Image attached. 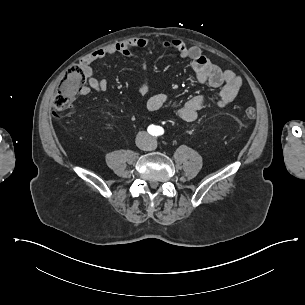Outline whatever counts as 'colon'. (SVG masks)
I'll use <instances>...</instances> for the list:
<instances>
[{"instance_id":"5ec220e1","label":"colon","mask_w":305,"mask_h":305,"mask_svg":"<svg viewBox=\"0 0 305 305\" xmlns=\"http://www.w3.org/2000/svg\"><path fill=\"white\" fill-rule=\"evenodd\" d=\"M85 80V73L78 66H70L65 69L61 79L57 84V95L53 99V108L65 109L69 103L76 99L78 90ZM247 118H253L255 110L248 107L244 111Z\"/></svg>"}]
</instances>
